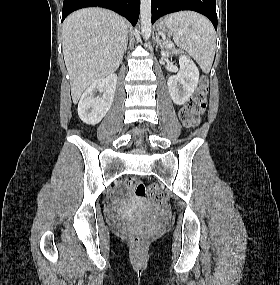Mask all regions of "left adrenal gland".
Instances as JSON below:
<instances>
[{
    "label": "left adrenal gland",
    "instance_id": "obj_1",
    "mask_svg": "<svg viewBox=\"0 0 280 285\" xmlns=\"http://www.w3.org/2000/svg\"><path fill=\"white\" fill-rule=\"evenodd\" d=\"M156 43H157V47L160 45L161 49L163 48L162 45H164V40H161L158 34L156 35Z\"/></svg>",
    "mask_w": 280,
    "mask_h": 285
}]
</instances>
